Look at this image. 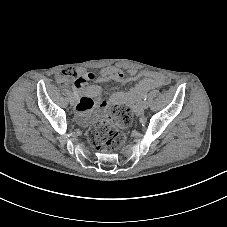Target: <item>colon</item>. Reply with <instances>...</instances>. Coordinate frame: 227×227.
<instances>
[{"label": "colon", "instance_id": "1", "mask_svg": "<svg viewBox=\"0 0 227 227\" xmlns=\"http://www.w3.org/2000/svg\"><path fill=\"white\" fill-rule=\"evenodd\" d=\"M59 78L61 81L77 79V71L72 67L64 68L60 72ZM130 120V109H116L112 117L96 123L89 129L90 144L101 152H114L124 143V128L130 123Z\"/></svg>", "mask_w": 227, "mask_h": 227}]
</instances>
